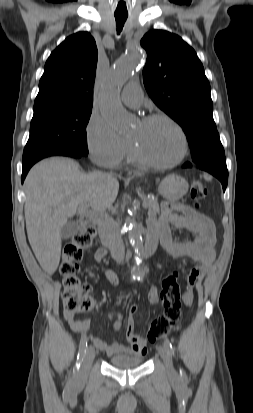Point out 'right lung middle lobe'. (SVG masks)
<instances>
[{
    "mask_svg": "<svg viewBox=\"0 0 253 413\" xmlns=\"http://www.w3.org/2000/svg\"><path fill=\"white\" fill-rule=\"evenodd\" d=\"M92 107L34 112L23 161L64 151L88 154L86 126Z\"/></svg>",
    "mask_w": 253,
    "mask_h": 413,
    "instance_id": "dd1d6c3e",
    "label": "right lung middle lobe"
}]
</instances>
